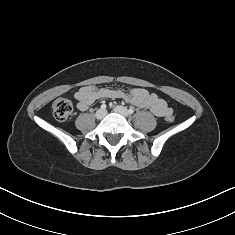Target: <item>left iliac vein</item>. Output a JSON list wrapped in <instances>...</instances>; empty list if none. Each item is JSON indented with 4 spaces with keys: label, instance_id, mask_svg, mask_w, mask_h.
I'll use <instances>...</instances> for the list:
<instances>
[{
    "label": "left iliac vein",
    "instance_id": "1",
    "mask_svg": "<svg viewBox=\"0 0 235 235\" xmlns=\"http://www.w3.org/2000/svg\"><path fill=\"white\" fill-rule=\"evenodd\" d=\"M114 112H116L118 114H121L124 117H128L129 116L128 110L124 106H120V105L116 106L114 108Z\"/></svg>",
    "mask_w": 235,
    "mask_h": 235
}]
</instances>
